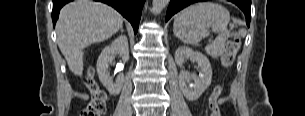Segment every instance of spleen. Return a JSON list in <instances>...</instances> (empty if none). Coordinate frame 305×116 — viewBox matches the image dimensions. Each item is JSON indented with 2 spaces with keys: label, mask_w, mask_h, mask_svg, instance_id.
Masks as SVG:
<instances>
[{
  "label": "spleen",
  "mask_w": 305,
  "mask_h": 116,
  "mask_svg": "<svg viewBox=\"0 0 305 116\" xmlns=\"http://www.w3.org/2000/svg\"><path fill=\"white\" fill-rule=\"evenodd\" d=\"M230 15L223 6L212 2H200L180 11L174 21V33L184 43L197 45L212 32L222 34L226 31ZM224 45L221 36L213 43L214 48Z\"/></svg>",
  "instance_id": "1"
}]
</instances>
